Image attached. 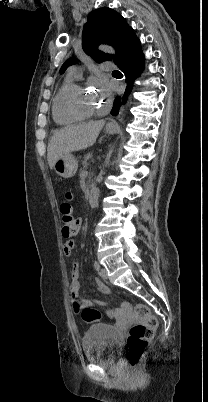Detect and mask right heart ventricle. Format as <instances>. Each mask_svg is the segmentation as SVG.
<instances>
[{"label":"right heart ventricle","mask_w":208,"mask_h":402,"mask_svg":"<svg viewBox=\"0 0 208 402\" xmlns=\"http://www.w3.org/2000/svg\"><path fill=\"white\" fill-rule=\"evenodd\" d=\"M74 78L67 76L52 100V118L54 122L63 127L75 126L84 123L89 117H79L70 113L66 107V98L70 91L76 87Z\"/></svg>","instance_id":"right-heart-ventricle-1"}]
</instances>
